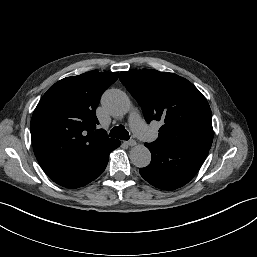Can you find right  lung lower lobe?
<instances>
[{
	"label": "right lung lower lobe",
	"instance_id": "right-lung-lower-lobe-1",
	"mask_svg": "<svg viewBox=\"0 0 257 257\" xmlns=\"http://www.w3.org/2000/svg\"><path fill=\"white\" fill-rule=\"evenodd\" d=\"M119 146L120 141L114 139L104 151L85 162L82 166L73 171L50 176V178L55 183L66 188L82 187L101 175L107 166L109 153Z\"/></svg>",
	"mask_w": 257,
	"mask_h": 257
}]
</instances>
